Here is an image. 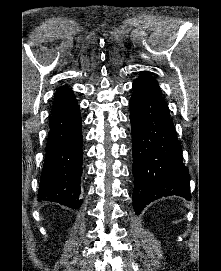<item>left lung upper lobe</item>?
Instances as JSON below:
<instances>
[{"instance_id": "5c2ea615", "label": "left lung upper lobe", "mask_w": 221, "mask_h": 271, "mask_svg": "<svg viewBox=\"0 0 221 271\" xmlns=\"http://www.w3.org/2000/svg\"><path fill=\"white\" fill-rule=\"evenodd\" d=\"M135 81H138V82H141V83L147 85L148 87L153 89L157 94L162 96L158 83L152 77H150L147 72H142L140 77L138 79H136Z\"/></svg>"}]
</instances>
